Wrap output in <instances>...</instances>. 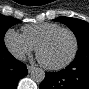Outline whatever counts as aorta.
Returning <instances> with one entry per match:
<instances>
[{"label": "aorta", "mask_w": 89, "mask_h": 89, "mask_svg": "<svg viewBox=\"0 0 89 89\" xmlns=\"http://www.w3.org/2000/svg\"><path fill=\"white\" fill-rule=\"evenodd\" d=\"M30 77L34 82L41 83L45 78V72L42 68H32Z\"/></svg>", "instance_id": "obj_1"}]
</instances>
